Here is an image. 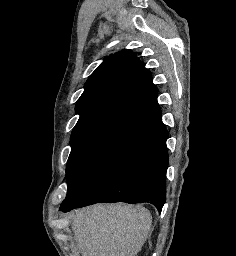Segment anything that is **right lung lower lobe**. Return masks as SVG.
I'll return each mask as SVG.
<instances>
[{
    "label": "right lung lower lobe",
    "instance_id": "1",
    "mask_svg": "<svg viewBox=\"0 0 236 256\" xmlns=\"http://www.w3.org/2000/svg\"><path fill=\"white\" fill-rule=\"evenodd\" d=\"M167 137L164 124H154L105 161L60 210L98 202H148L161 212L166 199Z\"/></svg>",
    "mask_w": 236,
    "mask_h": 256
}]
</instances>
